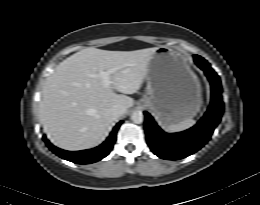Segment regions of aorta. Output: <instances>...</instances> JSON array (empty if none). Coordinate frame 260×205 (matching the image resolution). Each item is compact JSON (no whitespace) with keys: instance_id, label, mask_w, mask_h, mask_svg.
<instances>
[{"instance_id":"1","label":"aorta","mask_w":260,"mask_h":205,"mask_svg":"<svg viewBox=\"0 0 260 205\" xmlns=\"http://www.w3.org/2000/svg\"><path fill=\"white\" fill-rule=\"evenodd\" d=\"M131 120L136 123V124H140L143 122V113L142 111H134L131 115Z\"/></svg>"}]
</instances>
